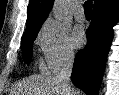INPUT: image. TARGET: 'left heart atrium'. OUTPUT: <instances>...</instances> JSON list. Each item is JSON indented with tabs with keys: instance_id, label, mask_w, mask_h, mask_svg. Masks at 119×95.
Masks as SVG:
<instances>
[{
	"instance_id": "left-heart-atrium-1",
	"label": "left heart atrium",
	"mask_w": 119,
	"mask_h": 95,
	"mask_svg": "<svg viewBox=\"0 0 119 95\" xmlns=\"http://www.w3.org/2000/svg\"><path fill=\"white\" fill-rule=\"evenodd\" d=\"M73 43L76 47H81L85 42V33L82 28L76 27L72 35Z\"/></svg>"
}]
</instances>
